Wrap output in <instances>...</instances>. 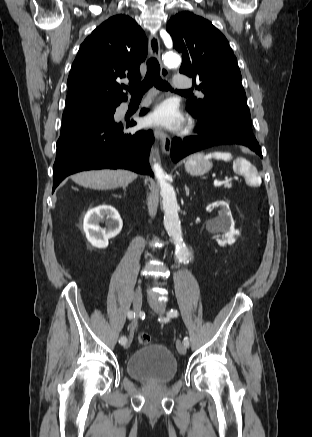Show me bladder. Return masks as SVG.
I'll use <instances>...</instances> for the list:
<instances>
[{
	"instance_id": "1",
	"label": "bladder",
	"mask_w": 312,
	"mask_h": 437,
	"mask_svg": "<svg viewBox=\"0 0 312 437\" xmlns=\"http://www.w3.org/2000/svg\"><path fill=\"white\" fill-rule=\"evenodd\" d=\"M127 374L140 382L166 384L178 373V363L163 344L144 345L135 350L126 361Z\"/></svg>"
}]
</instances>
